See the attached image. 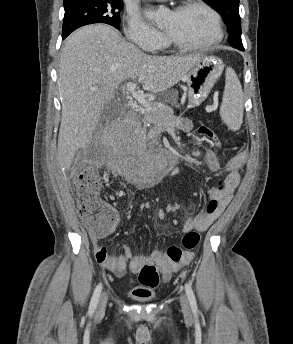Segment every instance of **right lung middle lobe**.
Listing matches in <instances>:
<instances>
[{
  "label": "right lung middle lobe",
  "mask_w": 293,
  "mask_h": 344,
  "mask_svg": "<svg viewBox=\"0 0 293 344\" xmlns=\"http://www.w3.org/2000/svg\"><path fill=\"white\" fill-rule=\"evenodd\" d=\"M62 38L75 29L93 23H105L119 29L122 0H78L64 4Z\"/></svg>",
  "instance_id": "obj_1"
}]
</instances>
